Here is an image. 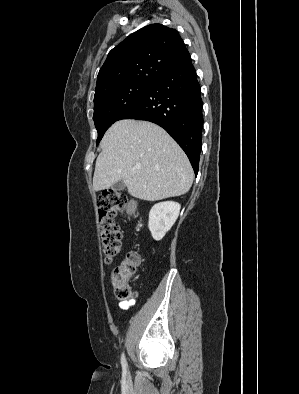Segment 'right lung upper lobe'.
<instances>
[{
  "label": "right lung upper lobe",
  "mask_w": 299,
  "mask_h": 394,
  "mask_svg": "<svg viewBox=\"0 0 299 394\" xmlns=\"http://www.w3.org/2000/svg\"><path fill=\"white\" fill-rule=\"evenodd\" d=\"M188 55L175 29L162 24L145 26L109 52L97 76L95 95L127 83H152Z\"/></svg>",
  "instance_id": "right-lung-upper-lobe-1"
}]
</instances>
